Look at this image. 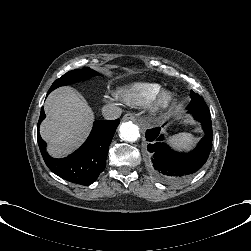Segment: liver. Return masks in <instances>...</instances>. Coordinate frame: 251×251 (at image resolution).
Here are the masks:
<instances>
[{"mask_svg":"<svg viewBox=\"0 0 251 251\" xmlns=\"http://www.w3.org/2000/svg\"><path fill=\"white\" fill-rule=\"evenodd\" d=\"M45 119L39 133L47 143L46 152L56 159L67 157L81 147L91 134L95 112L85 98L70 86L53 90L44 103Z\"/></svg>","mask_w":251,"mask_h":251,"instance_id":"liver-1","label":"liver"}]
</instances>
